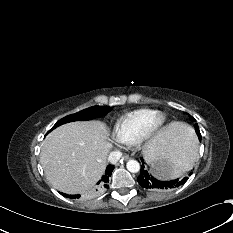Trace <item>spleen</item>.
<instances>
[{
	"mask_svg": "<svg viewBox=\"0 0 233 233\" xmlns=\"http://www.w3.org/2000/svg\"><path fill=\"white\" fill-rule=\"evenodd\" d=\"M197 151V140L189 126L183 133L180 145L175 149V155L172 160L175 165V176L184 169L190 168L195 162V153ZM174 176V177H175Z\"/></svg>",
	"mask_w": 233,
	"mask_h": 233,
	"instance_id": "3e777b00",
	"label": "spleen"
}]
</instances>
